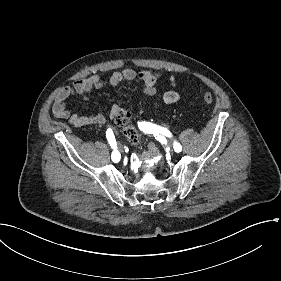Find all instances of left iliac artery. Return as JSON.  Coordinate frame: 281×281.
<instances>
[{
  "label": "left iliac artery",
  "mask_w": 281,
  "mask_h": 281,
  "mask_svg": "<svg viewBox=\"0 0 281 281\" xmlns=\"http://www.w3.org/2000/svg\"><path fill=\"white\" fill-rule=\"evenodd\" d=\"M138 127L140 130H142L144 133L147 134H153L154 136H157L158 134H162L165 136L170 137L171 133L166 128L157 126L155 124H152L150 122H139ZM182 149L181 145L178 142H174V150L176 152H180Z\"/></svg>",
  "instance_id": "1"
}]
</instances>
